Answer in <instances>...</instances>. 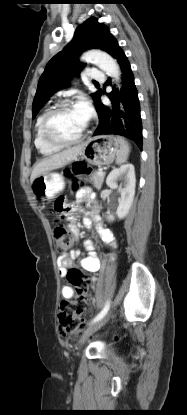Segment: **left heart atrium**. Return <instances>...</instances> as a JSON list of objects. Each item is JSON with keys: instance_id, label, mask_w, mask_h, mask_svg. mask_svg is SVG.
<instances>
[{"instance_id": "39dd6f15", "label": "left heart atrium", "mask_w": 187, "mask_h": 415, "mask_svg": "<svg viewBox=\"0 0 187 415\" xmlns=\"http://www.w3.org/2000/svg\"><path fill=\"white\" fill-rule=\"evenodd\" d=\"M74 108L82 116V118L87 122L91 116V106L89 102L85 98H81L77 102Z\"/></svg>"}]
</instances>
